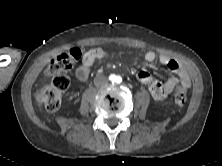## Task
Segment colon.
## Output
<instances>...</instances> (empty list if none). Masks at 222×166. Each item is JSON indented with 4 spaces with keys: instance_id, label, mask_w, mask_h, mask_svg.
I'll return each instance as SVG.
<instances>
[{
    "instance_id": "1",
    "label": "colon",
    "mask_w": 222,
    "mask_h": 166,
    "mask_svg": "<svg viewBox=\"0 0 222 166\" xmlns=\"http://www.w3.org/2000/svg\"><path fill=\"white\" fill-rule=\"evenodd\" d=\"M82 57L81 50L77 48L70 49L54 58L45 70V75L51 80L44 85L37 94V100L46 110L54 112L61 105L62 95L69 86V78L65 71L73 67ZM187 89L178 86L174 92V101L182 106L187 100Z\"/></svg>"
}]
</instances>
